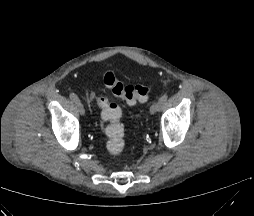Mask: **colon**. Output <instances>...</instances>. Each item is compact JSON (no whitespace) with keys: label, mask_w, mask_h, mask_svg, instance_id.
Listing matches in <instances>:
<instances>
[{"label":"colon","mask_w":254,"mask_h":216,"mask_svg":"<svg viewBox=\"0 0 254 216\" xmlns=\"http://www.w3.org/2000/svg\"><path fill=\"white\" fill-rule=\"evenodd\" d=\"M103 83L116 97L123 99L129 105H134L138 101H146L151 91V87L145 84H124L113 71L104 73ZM98 103L102 109V119L107 123L105 127V134L108 138L106 149L111 155H119L125 148V131L120 122L121 109L106 97H99Z\"/></svg>","instance_id":"5ec220e1"}]
</instances>
